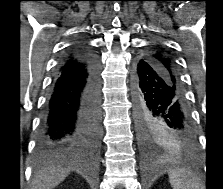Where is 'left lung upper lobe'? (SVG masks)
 I'll return each instance as SVG.
<instances>
[{
    "label": "left lung upper lobe",
    "mask_w": 223,
    "mask_h": 189,
    "mask_svg": "<svg viewBox=\"0 0 223 189\" xmlns=\"http://www.w3.org/2000/svg\"><path fill=\"white\" fill-rule=\"evenodd\" d=\"M140 59L159 66L168 74L172 81L181 85L176 63L170 52L162 46L153 45L149 47L142 53ZM139 134L145 147L158 149H185L189 147L182 144L170 130L159 124L152 125L146 129H139Z\"/></svg>",
    "instance_id": "1"
}]
</instances>
